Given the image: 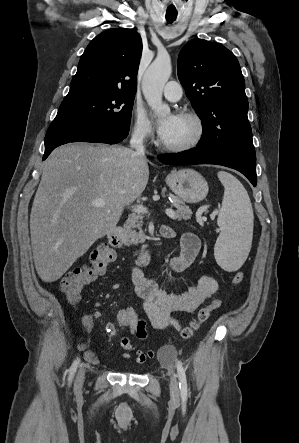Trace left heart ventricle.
<instances>
[{"instance_id":"left-heart-ventricle-1","label":"left heart ventricle","mask_w":299,"mask_h":443,"mask_svg":"<svg viewBox=\"0 0 299 443\" xmlns=\"http://www.w3.org/2000/svg\"><path fill=\"white\" fill-rule=\"evenodd\" d=\"M194 131L195 128L191 121L178 117L172 131L162 140L168 144H183L193 137Z\"/></svg>"}]
</instances>
